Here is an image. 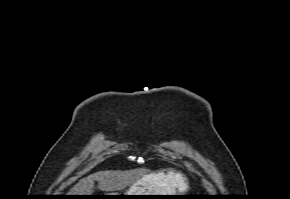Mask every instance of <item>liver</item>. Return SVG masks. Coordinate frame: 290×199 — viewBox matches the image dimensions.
I'll list each match as a JSON object with an SVG mask.
<instances>
[{
  "label": "liver",
  "instance_id": "obj_1",
  "mask_svg": "<svg viewBox=\"0 0 290 199\" xmlns=\"http://www.w3.org/2000/svg\"><path fill=\"white\" fill-rule=\"evenodd\" d=\"M157 175L160 179L165 180L166 186L173 188H184L185 186L184 178L180 173L171 171L168 174L160 173ZM139 176L140 174L134 171H100L79 180L68 192V195H91L95 180L98 181V187L102 191H119L135 182Z\"/></svg>",
  "mask_w": 290,
  "mask_h": 199
}]
</instances>
